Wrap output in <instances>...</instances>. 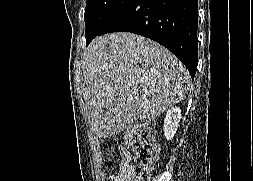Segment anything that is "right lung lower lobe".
<instances>
[{
  "label": "right lung lower lobe",
  "instance_id": "98d812e1",
  "mask_svg": "<svg viewBox=\"0 0 253 181\" xmlns=\"http://www.w3.org/2000/svg\"><path fill=\"white\" fill-rule=\"evenodd\" d=\"M197 27L198 0H130L100 31L87 34L86 42L121 31L148 37L168 48L193 79L198 64Z\"/></svg>",
  "mask_w": 253,
  "mask_h": 181
}]
</instances>
